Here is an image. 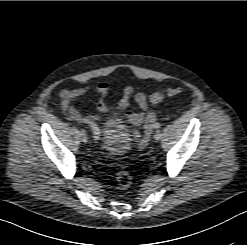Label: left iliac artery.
<instances>
[{
  "instance_id": "left-iliac-artery-1",
  "label": "left iliac artery",
  "mask_w": 247,
  "mask_h": 245,
  "mask_svg": "<svg viewBox=\"0 0 247 245\" xmlns=\"http://www.w3.org/2000/svg\"><path fill=\"white\" fill-rule=\"evenodd\" d=\"M160 126H161V125H160L159 123H155V124H154V128H155V129H159Z\"/></svg>"
}]
</instances>
